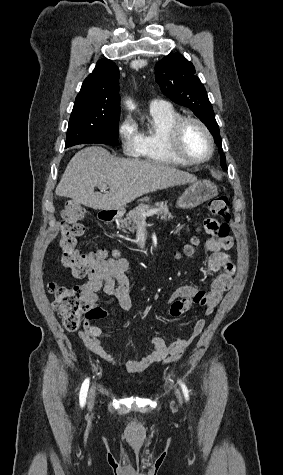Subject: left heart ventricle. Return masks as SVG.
I'll return each mask as SVG.
<instances>
[{
    "label": "left heart ventricle",
    "mask_w": 283,
    "mask_h": 475,
    "mask_svg": "<svg viewBox=\"0 0 283 475\" xmlns=\"http://www.w3.org/2000/svg\"><path fill=\"white\" fill-rule=\"evenodd\" d=\"M165 151L173 158H202L209 152V143L198 125L188 123L183 129L181 141L178 144L166 143Z\"/></svg>",
    "instance_id": "left-heart-ventricle-1"
}]
</instances>
